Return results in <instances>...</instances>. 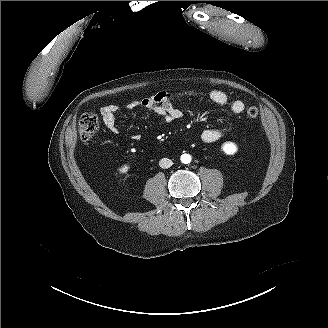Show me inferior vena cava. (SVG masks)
<instances>
[{"instance_id": "inferior-vena-cava-1", "label": "inferior vena cava", "mask_w": 328, "mask_h": 328, "mask_svg": "<svg viewBox=\"0 0 328 328\" xmlns=\"http://www.w3.org/2000/svg\"><path fill=\"white\" fill-rule=\"evenodd\" d=\"M172 164H173V162L168 158H163L159 161L160 167L164 168V169H167V168L171 167Z\"/></svg>"}]
</instances>
